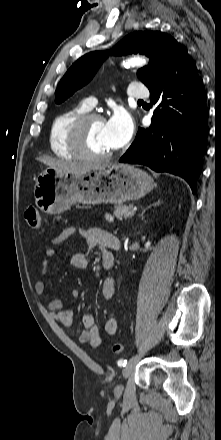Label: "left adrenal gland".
<instances>
[{
    "label": "left adrenal gland",
    "mask_w": 221,
    "mask_h": 440,
    "mask_svg": "<svg viewBox=\"0 0 221 440\" xmlns=\"http://www.w3.org/2000/svg\"><path fill=\"white\" fill-rule=\"evenodd\" d=\"M161 203V200L156 201L155 203L151 204L149 207H147L146 209L143 210V212L141 213V217L143 218L144 213L146 212V210H148L149 208H151L152 206H157Z\"/></svg>",
    "instance_id": "1"
}]
</instances>
